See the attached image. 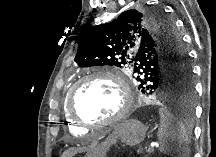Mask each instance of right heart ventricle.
Wrapping results in <instances>:
<instances>
[{"instance_id": "e07e8e85", "label": "right heart ventricle", "mask_w": 216, "mask_h": 157, "mask_svg": "<svg viewBox=\"0 0 216 157\" xmlns=\"http://www.w3.org/2000/svg\"><path fill=\"white\" fill-rule=\"evenodd\" d=\"M65 107H66V103H65ZM66 112V109H65ZM66 121L68 123V130L73 133V134H78V135H82L85 134V128L78 125L77 123H75L73 120H71L68 115L66 114Z\"/></svg>"}]
</instances>
